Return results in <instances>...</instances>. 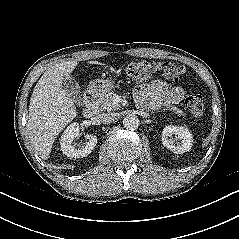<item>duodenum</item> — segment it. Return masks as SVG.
<instances>
[{
    "instance_id": "duodenum-1",
    "label": "duodenum",
    "mask_w": 239,
    "mask_h": 239,
    "mask_svg": "<svg viewBox=\"0 0 239 239\" xmlns=\"http://www.w3.org/2000/svg\"><path fill=\"white\" fill-rule=\"evenodd\" d=\"M97 97L96 93L92 90H88L84 96V107L82 110L83 116L87 119L94 118L97 115Z\"/></svg>"
}]
</instances>
